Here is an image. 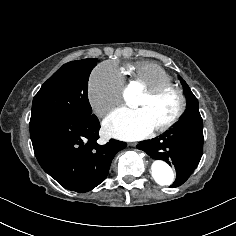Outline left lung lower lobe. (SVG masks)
I'll return each mask as SVG.
<instances>
[{"label": "left lung lower lobe", "mask_w": 236, "mask_h": 236, "mask_svg": "<svg viewBox=\"0 0 236 236\" xmlns=\"http://www.w3.org/2000/svg\"><path fill=\"white\" fill-rule=\"evenodd\" d=\"M137 148L151 158L173 165L176 180L170 188L182 185L193 173L203 153L202 121L178 122L170 131L151 140L141 141Z\"/></svg>", "instance_id": "left-lung-lower-lobe-1"}]
</instances>
